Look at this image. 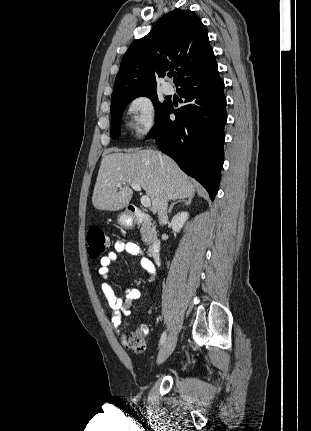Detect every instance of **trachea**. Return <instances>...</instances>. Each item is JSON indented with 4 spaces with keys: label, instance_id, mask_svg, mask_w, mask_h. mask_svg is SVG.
Here are the masks:
<instances>
[{
    "label": "trachea",
    "instance_id": "trachea-1",
    "mask_svg": "<svg viewBox=\"0 0 311 431\" xmlns=\"http://www.w3.org/2000/svg\"><path fill=\"white\" fill-rule=\"evenodd\" d=\"M172 76H174V73H170V74H169V77H170V78H171Z\"/></svg>",
    "mask_w": 311,
    "mask_h": 431
}]
</instances>
